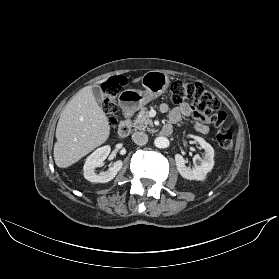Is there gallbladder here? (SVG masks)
<instances>
[{"label": "gallbladder", "instance_id": "1", "mask_svg": "<svg viewBox=\"0 0 279 279\" xmlns=\"http://www.w3.org/2000/svg\"><path fill=\"white\" fill-rule=\"evenodd\" d=\"M92 93L96 99V101H98L99 103L104 101L105 98V94L103 93L102 89L100 88V86L98 85H94L92 87Z\"/></svg>", "mask_w": 279, "mask_h": 279}]
</instances>
